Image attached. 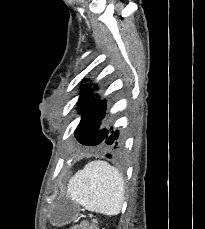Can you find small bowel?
<instances>
[{"mask_svg":"<svg viewBox=\"0 0 205 229\" xmlns=\"http://www.w3.org/2000/svg\"><path fill=\"white\" fill-rule=\"evenodd\" d=\"M73 229H96V228L88 223H81L75 226Z\"/></svg>","mask_w":205,"mask_h":229,"instance_id":"1","label":"small bowel"}]
</instances>
